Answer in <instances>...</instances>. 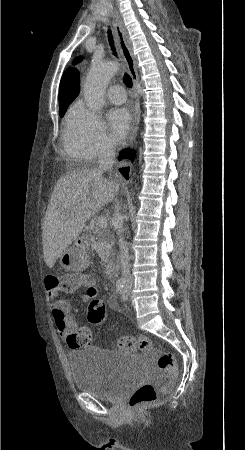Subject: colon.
<instances>
[{
    "label": "colon",
    "mask_w": 245,
    "mask_h": 450,
    "mask_svg": "<svg viewBox=\"0 0 245 450\" xmlns=\"http://www.w3.org/2000/svg\"><path fill=\"white\" fill-rule=\"evenodd\" d=\"M86 278L81 272H68L61 276L53 277L47 280L49 287L60 291H68L81 285ZM107 310L105 304L100 300L90 302L88 306L87 319L91 324H100L105 321ZM75 346L88 345L92 340V335L88 329H79L70 335ZM118 346L122 350H131L134 347L143 351H155L157 353L158 367L163 370L168 381L163 385V390L168 392L172 389L177 377V368L174 355L171 352H162L154 346L153 342L146 336L139 337H121L118 340ZM157 400V392L152 384L140 385L129 399V408L133 412H139L142 407L152 404Z\"/></svg>",
    "instance_id": "1"
}]
</instances>
